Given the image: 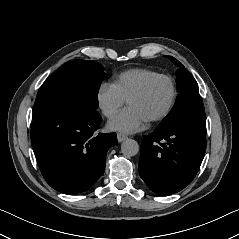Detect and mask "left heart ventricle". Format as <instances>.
<instances>
[{"mask_svg":"<svg viewBox=\"0 0 239 239\" xmlns=\"http://www.w3.org/2000/svg\"><path fill=\"white\" fill-rule=\"evenodd\" d=\"M169 96V84L165 80H158L149 87L143 96L134 99L128 105L148 119L166 106Z\"/></svg>","mask_w":239,"mask_h":239,"instance_id":"1","label":"left heart ventricle"}]
</instances>
